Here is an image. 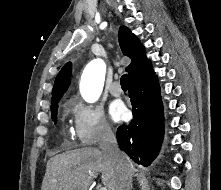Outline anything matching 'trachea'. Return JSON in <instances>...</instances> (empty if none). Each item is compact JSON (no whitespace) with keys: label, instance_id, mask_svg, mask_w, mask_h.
<instances>
[{"label":"trachea","instance_id":"3493384b","mask_svg":"<svg viewBox=\"0 0 221 190\" xmlns=\"http://www.w3.org/2000/svg\"><path fill=\"white\" fill-rule=\"evenodd\" d=\"M122 89H127V74L122 75L120 79Z\"/></svg>","mask_w":221,"mask_h":190}]
</instances>
